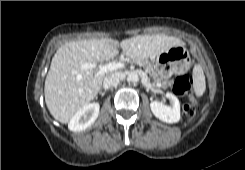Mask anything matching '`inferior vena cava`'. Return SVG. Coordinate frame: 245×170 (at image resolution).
Instances as JSON below:
<instances>
[{"label":"inferior vena cava","mask_w":245,"mask_h":170,"mask_svg":"<svg viewBox=\"0 0 245 170\" xmlns=\"http://www.w3.org/2000/svg\"><path fill=\"white\" fill-rule=\"evenodd\" d=\"M124 78V74L120 72L113 73L109 76H106L103 81V87L109 89L113 87L116 83L121 81Z\"/></svg>","instance_id":"obj_1"}]
</instances>
